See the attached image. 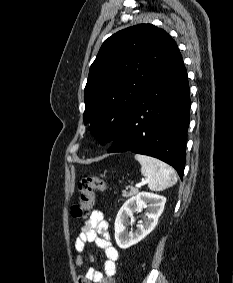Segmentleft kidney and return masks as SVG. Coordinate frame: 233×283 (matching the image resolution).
Listing matches in <instances>:
<instances>
[{"label":"left kidney","mask_w":233,"mask_h":283,"mask_svg":"<svg viewBox=\"0 0 233 283\" xmlns=\"http://www.w3.org/2000/svg\"><path fill=\"white\" fill-rule=\"evenodd\" d=\"M165 203V197L148 192H141L136 197L126 201L115 220L114 229L117 245L121 249H127L145 238L156 227ZM147 205L148 211L143 221L138 223L137 229L134 232H126V227L130 224L129 218L133 216L134 212L141 211Z\"/></svg>","instance_id":"5707ae66"}]
</instances>
